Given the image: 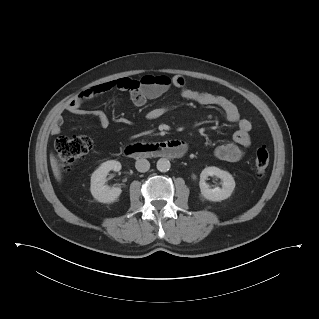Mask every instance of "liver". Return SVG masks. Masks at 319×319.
<instances>
[{
  "label": "liver",
  "mask_w": 319,
  "mask_h": 319,
  "mask_svg": "<svg viewBox=\"0 0 319 319\" xmlns=\"http://www.w3.org/2000/svg\"><path fill=\"white\" fill-rule=\"evenodd\" d=\"M50 164L54 174V177L57 181H61V171L58 165V161L53 153L50 154Z\"/></svg>",
  "instance_id": "obj_1"
}]
</instances>
